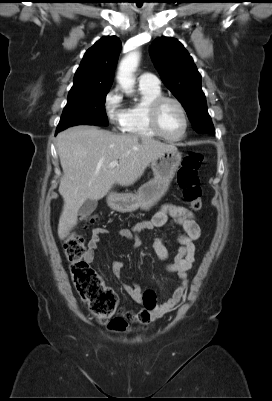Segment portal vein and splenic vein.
I'll return each mask as SVG.
<instances>
[{
    "mask_svg": "<svg viewBox=\"0 0 272 401\" xmlns=\"http://www.w3.org/2000/svg\"><path fill=\"white\" fill-rule=\"evenodd\" d=\"M116 166H118V161L117 160H114V161H112L110 164H109V168H114V167H116Z\"/></svg>",
    "mask_w": 272,
    "mask_h": 401,
    "instance_id": "1",
    "label": "portal vein and splenic vein"
}]
</instances>
